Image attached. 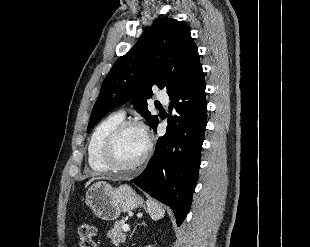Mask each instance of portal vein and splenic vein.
<instances>
[{"label":"portal vein and splenic vein","instance_id":"portal-vein-and-splenic-vein-1","mask_svg":"<svg viewBox=\"0 0 310 247\" xmlns=\"http://www.w3.org/2000/svg\"><path fill=\"white\" fill-rule=\"evenodd\" d=\"M130 230L129 226L127 224L123 225V231L128 232Z\"/></svg>","mask_w":310,"mask_h":247}]
</instances>
